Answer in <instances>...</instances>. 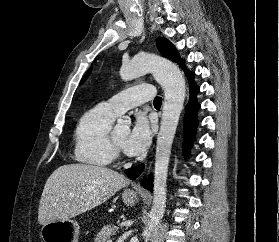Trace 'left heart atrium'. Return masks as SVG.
<instances>
[{
    "instance_id": "left-heart-atrium-1",
    "label": "left heart atrium",
    "mask_w": 279,
    "mask_h": 242,
    "mask_svg": "<svg viewBox=\"0 0 279 242\" xmlns=\"http://www.w3.org/2000/svg\"><path fill=\"white\" fill-rule=\"evenodd\" d=\"M152 131L145 115L139 114L129 131L124 149L131 156L144 153L150 145Z\"/></svg>"
}]
</instances>
